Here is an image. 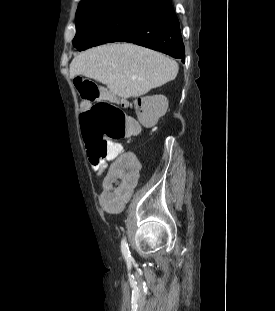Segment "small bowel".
I'll use <instances>...</instances> for the list:
<instances>
[{"label":"small bowel","mask_w":275,"mask_h":311,"mask_svg":"<svg viewBox=\"0 0 275 311\" xmlns=\"http://www.w3.org/2000/svg\"><path fill=\"white\" fill-rule=\"evenodd\" d=\"M89 107V102L80 103L82 112ZM135 157H137V150H121L117 160H113L110 166V173L100 185L103 190V194L100 195V212L105 213L106 216H117L118 213H123L125 200L131 195L140 178V171L136 167H141L142 161L136 160ZM106 165L105 160L90 159V167L98 176L102 174Z\"/></svg>","instance_id":"1"}]
</instances>
